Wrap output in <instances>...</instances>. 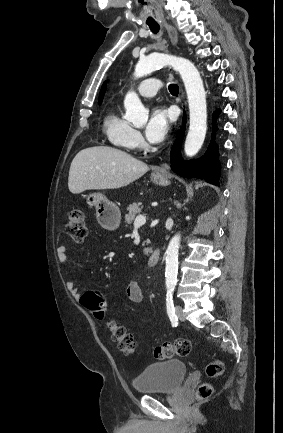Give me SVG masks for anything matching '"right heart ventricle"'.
Segmentation results:
<instances>
[{
  "instance_id": "right-heart-ventricle-1",
  "label": "right heart ventricle",
  "mask_w": 283,
  "mask_h": 433,
  "mask_svg": "<svg viewBox=\"0 0 283 433\" xmlns=\"http://www.w3.org/2000/svg\"><path fill=\"white\" fill-rule=\"evenodd\" d=\"M103 130L114 144H124L132 132L131 124L116 110L109 112L103 119Z\"/></svg>"
}]
</instances>
